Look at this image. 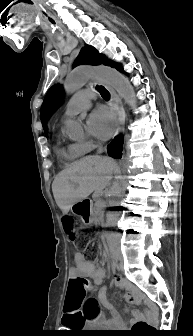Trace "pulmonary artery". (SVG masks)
<instances>
[{"mask_svg":"<svg viewBox=\"0 0 193 336\" xmlns=\"http://www.w3.org/2000/svg\"><path fill=\"white\" fill-rule=\"evenodd\" d=\"M94 97L95 94L90 90H83L74 94L65 107L63 120L75 117L88 110L91 106V99Z\"/></svg>","mask_w":193,"mask_h":336,"instance_id":"e3ab8cb5","label":"pulmonary artery"}]
</instances>
